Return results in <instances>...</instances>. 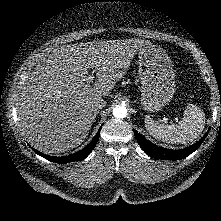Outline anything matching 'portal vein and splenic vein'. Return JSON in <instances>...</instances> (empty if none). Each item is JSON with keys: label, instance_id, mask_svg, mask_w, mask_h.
<instances>
[{"label": "portal vein and splenic vein", "instance_id": "1", "mask_svg": "<svg viewBox=\"0 0 221 221\" xmlns=\"http://www.w3.org/2000/svg\"><path fill=\"white\" fill-rule=\"evenodd\" d=\"M93 78H94L93 75H92V76H89L86 81H87V82H92V81H93Z\"/></svg>", "mask_w": 221, "mask_h": 221}]
</instances>
